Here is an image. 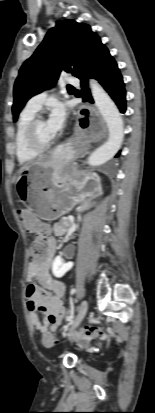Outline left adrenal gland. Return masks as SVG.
Segmentation results:
<instances>
[{
    "instance_id": "left-adrenal-gland-1",
    "label": "left adrenal gland",
    "mask_w": 155,
    "mask_h": 413,
    "mask_svg": "<svg viewBox=\"0 0 155 413\" xmlns=\"http://www.w3.org/2000/svg\"><path fill=\"white\" fill-rule=\"evenodd\" d=\"M88 206H89L88 203L80 206V207L78 208V212H81V211L85 210Z\"/></svg>"
}]
</instances>
